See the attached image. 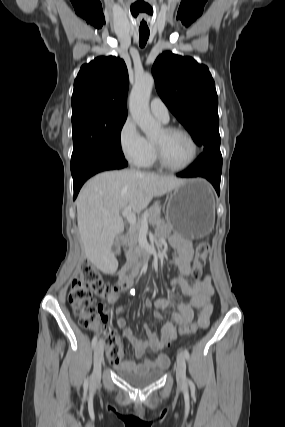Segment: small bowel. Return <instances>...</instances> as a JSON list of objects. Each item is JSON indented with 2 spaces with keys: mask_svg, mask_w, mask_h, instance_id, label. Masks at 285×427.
Here are the masks:
<instances>
[{
  "mask_svg": "<svg viewBox=\"0 0 285 427\" xmlns=\"http://www.w3.org/2000/svg\"><path fill=\"white\" fill-rule=\"evenodd\" d=\"M170 244L175 249L174 264L181 273V277L172 278L170 284L180 288L181 292L189 297V302L175 301L172 298L158 299L154 302L146 300L144 306L147 308L155 307L157 310H167L173 308L171 313L172 320L167 321L159 332L152 331L148 325L144 326L146 338L140 340L134 336L133 329L126 325L123 317H119L115 321V325L122 330V335L131 344L137 357L142 358L147 351L159 353L156 359L151 360L145 358L142 363L122 362L121 358L125 354L121 349L118 360H109L113 365L124 369L135 370L140 373H145L148 370L156 367L166 369L169 366V358L166 354L160 353L168 341L174 340L177 337L175 323L180 326H185L191 323L194 318V309H198V324L201 329H205L209 325L210 317L213 312L211 298L214 294L211 277L209 275L203 278L194 279L192 284L188 283L186 277L192 274L191 263L194 256L192 243L178 235L170 236ZM136 276V275H135ZM134 278L130 282L124 281L121 277L117 284V289L108 295L110 303H116L120 299V292L130 288L134 284ZM101 317L104 321L109 320V315L105 312L103 306L99 307ZM124 308L117 307L116 312L122 314ZM159 311L154 313L156 320L161 319Z\"/></svg>",
  "mask_w": 285,
  "mask_h": 427,
  "instance_id": "obj_1",
  "label": "small bowel"
}]
</instances>
